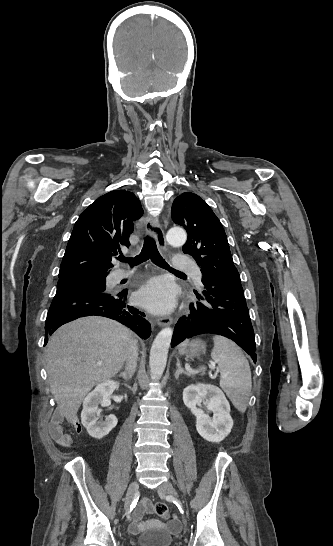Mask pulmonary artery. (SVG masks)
<instances>
[{
    "label": "pulmonary artery",
    "mask_w": 333,
    "mask_h": 546,
    "mask_svg": "<svg viewBox=\"0 0 333 546\" xmlns=\"http://www.w3.org/2000/svg\"><path fill=\"white\" fill-rule=\"evenodd\" d=\"M174 266L176 269H179V270L193 271V275L195 279L198 281L201 280V273L197 268H195V264L190 258L186 256H178L174 262ZM131 274H132V271L130 270L116 269L112 273V280L119 281L125 277H128Z\"/></svg>",
    "instance_id": "e3ab8cb5"
}]
</instances>
